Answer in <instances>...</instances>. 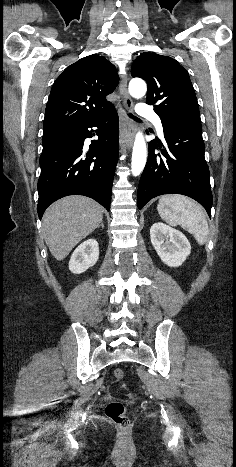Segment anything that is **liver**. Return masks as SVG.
<instances>
[{
	"instance_id": "1",
	"label": "liver",
	"mask_w": 236,
	"mask_h": 467,
	"mask_svg": "<svg viewBox=\"0 0 236 467\" xmlns=\"http://www.w3.org/2000/svg\"><path fill=\"white\" fill-rule=\"evenodd\" d=\"M102 218V206L85 196H67L53 203L42 220L44 239L51 254L58 261L65 259L100 226Z\"/></svg>"
}]
</instances>
